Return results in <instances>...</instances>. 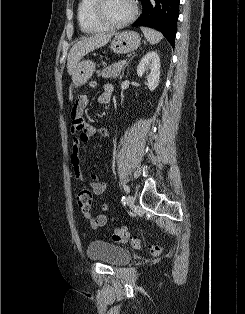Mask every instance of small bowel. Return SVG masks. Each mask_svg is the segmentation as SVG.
Instances as JSON below:
<instances>
[{"instance_id": "c3829d8e", "label": "small bowel", "mask_w": 245, "mask_h": 314, "mask_svg": "<svg viewBox=\"0 0 245 314\" xmlns=\"http://www.w3.org/2000/svg\"><path fill=\"white\" fill-rule=\"evenodd\" d=\"M91 88H96L97 83L91 81L89 83ZM113 87L111 84L104 86L103 92L99 95L98 101L101 104H107L111 100ZM89 97L86 94H79L75 97L71 109V133L73 135L72 157L71 162L73 166L74 176L79 182L88 181L92 192L95 195H102L108 190L106 182L101 181L98 176L91 175L88 179L81 170L80 151L81 145L87 143L93 138L108 137L110 132L106 128H97L89 123L84 117V111L88 105ZM103 211H108L109 206L106 203L101 204ZM88 220L91 228L98 229L107 224L108 217L105 214L93 215L91 211L83 214Z\"/></svg>"}]
</instances>
